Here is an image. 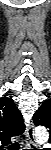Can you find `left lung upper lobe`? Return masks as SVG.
I'll return each mask as SVG.
<instances>
[{
	"instance_id": "left-lung-upper-lobe-1",
	"label": "left lung upper lobe",
	"mask_w": 51,
	"mask_h": 150,
	"mask_svg": "<svg viewBox=\"0 0 51 150\" xmlns=\"http://www.w3.org/2000/svg\"><path fill=\"white\" fill-rule=\"evenodd\" d=\"M35 125H41L51 130V99L46 100L33 116Z\"/></svg>"
}]
</instances>
